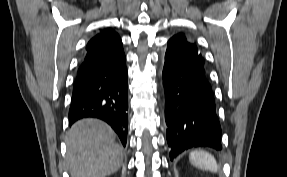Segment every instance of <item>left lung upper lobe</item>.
<instances>
[{
	"mask_svg": "<svg viewBox=\"0 0 287 177\" xmlns=\"http://www.w3.org/2000/svg\"><path fill=\"white\" fill-rule=\"evenodd\" d=\"M171 39L175 40L181 46L185 55L189 58H196L201 64H204V59L196 44L188 41L184 34H177Z\"/></svg>",
	"mask_w": 287,
	"mask_h": 177,
	"instance_id": "1",
	"label": "left lung upper lobe"
}]
</instances>
